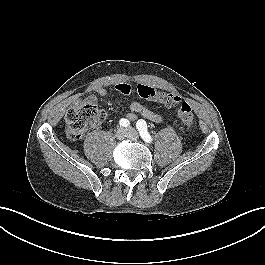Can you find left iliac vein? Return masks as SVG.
Instances as JSON below:
<instances>
[{"instance_id": "obj_1", "label": "left iliac vein", "mask_w": 265, "mask_h": 265, "mask_svg": "<svg viewBox=\"0 0 265 265\" xmlns=\"http://www.w3.org/2000/svg\"><path fill=\"white\" fill-rule=\"evenodd\" d=\"M129 137H135L137 135V132L133 128H127Z\"/></svg>"}]
</instances>
